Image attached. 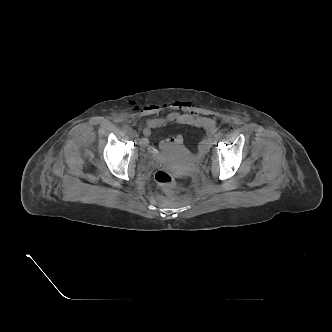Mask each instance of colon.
Masks as SVG:
<instances>
[{
	"label": "colon",
	"instance_id": "1",
	"mask_svg": "<svg viewBox=\"0 0 332 332\" xmlns=\"http://www.w3.org/2000/svg\"><path fill=\"white\" fill-rule=\"evenodd\" d=\"M155 180L167 192H173L176 188L175 178L166 170H158L155 173Z\"/></svg>",
	"mask_w": 332,
	"mask_h": 332
}]
</instances>
